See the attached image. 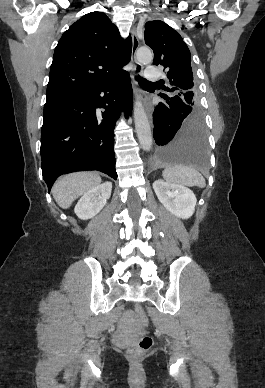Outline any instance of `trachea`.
<instances>
[{"instance_id":"obj_1","label":"trachea","mask_w":265,"mask_h":388,"mask_svg":"<svg viewBox=\"0 0 265 388\" xmlns=\"http://www.w3.org/2000/svg\"><path fill=\"white\" fill-rule=\"evenodd\" d=\"M136 80L141 84V85H145V84H151L153 82H148V80H145L144 78L142 77H136Z\"/></svg>"}]
</instances>
